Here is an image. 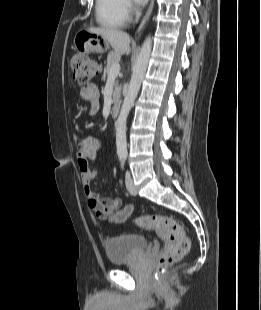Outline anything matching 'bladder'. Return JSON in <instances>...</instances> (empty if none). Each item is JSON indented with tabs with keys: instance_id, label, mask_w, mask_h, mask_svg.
I'll return each instance as SVG.
<instances>
[{
	"instance_id": "1",
	"label": "bladder",
	"mask_w": 261,
	"mask_h": 310,
	"mask_svg": "<svg viewBox=\"0 0 261 310\" xmlns=\"http://www.w3.org/2000/svg\"><path fill=\"white\" fill-rule=\"evenodd\" d=\"M147 245L148 241L144 236L131 233L109 236L104 243L108 259L115 265L134 259L146 249Z\"/></svg>"
}]
</instances>
